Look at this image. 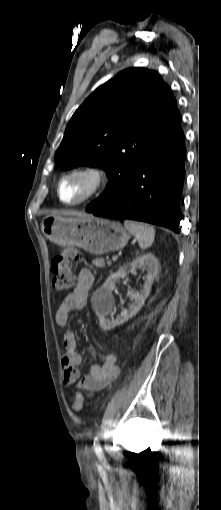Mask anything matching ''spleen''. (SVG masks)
<instances>
[{
    "label": "spleen",
    "mask_w": 221,
    "mask_h": 510,
    "mask_svg": "<svg viewBox=\"0 0 221 510\" xmlns=\"http://www.w3.org/2000/svg\"><path fill=\"white\" fill-rule=\"evenodd\" d=\"M124 226L136 237L141 249L149 248L154 242L155 229L152 225L143 222L125 220Z\"/></svg>",
    "instance_id": "1"
}]
</instances>
